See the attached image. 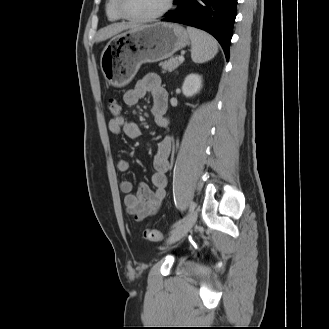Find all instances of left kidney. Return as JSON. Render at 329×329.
Returning <instances> with one entry per match:
<instances>
[{
	"mask_svg": "<svg viewBox=\"0 0 329 329\" xmlns=\"http://www.w3.org/2000/svg\"><path fill=\"white\" fill-rule=\"evenodd\" d=\"M202 88V77L198 74H189L182 85V92L186 97H192Z\"/></svg>",
	"mask_w": 329,
	"mask_h": 329,
	"instance_id": "obj_1",
	"label": "left kidney"
}]
</instances>
